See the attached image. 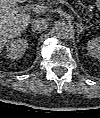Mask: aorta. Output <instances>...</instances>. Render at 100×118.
<instances>
[{
	"label": "aorta",
	"instance_id": "aorta-1",
	"mask_svg": "<svg viewBox=\"0 0 100 118\" xmlns=\"http://www.w3.org/2000/svg\"><path fill=\"white\" fill-rule=\"evenodd\" d=\"M74 29L72 25L66 22H60L56 26V34L60 39H68L73 35Z\"/></svg>",
	"mask_w": 100,
	"mask_h": 118
}]
</instances>
